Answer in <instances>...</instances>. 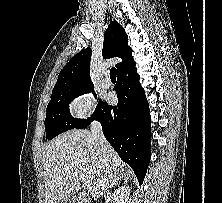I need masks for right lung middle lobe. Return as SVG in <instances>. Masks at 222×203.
Listing matches in <instances>:
<instances>
[{
	"label": "right lung middle lobe",
	"instance_id": "right-lung-middle-lobe-1",
	"mask_svg": "<svg viewBox=\"0 0 222 203\" xmlns=\"http://www.w3.org/2000/svg\"><path fill=\"white\" fill-rule=\"evenodd\" d=\"M89 92L94 93L93 85L52 92L51 100L47 105V115L45 118L46 139L51 140L60 133L75 128L84 120L71 116L69 104L74 98Z\"/></svg>",
	"mask_w": 222,
	"mask_h": 203
}]
</instances>
